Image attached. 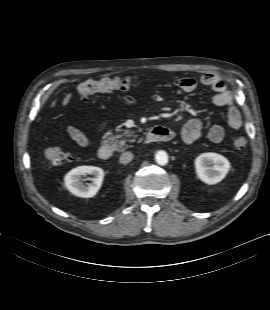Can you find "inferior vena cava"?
Instances as JSON below:
<instances>
[{"instance_id": "602c4592", "label": "inferior vena cava", "mask_w": 270, "mask_h": 310, "mask_svg": "<svg viewBox=\"0 0 270 310\" xmlns=\"http://www.w3.org/2000/svg\"><path fill=\"white\" fill-rule=\"evenodd\" d=\"M133 153L127 151L121 154L119 162L122 164H127L133 159Z\"/></svg>"}]
</instances>
